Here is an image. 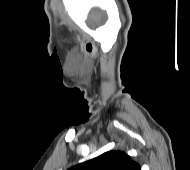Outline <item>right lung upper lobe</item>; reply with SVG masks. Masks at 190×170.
<instances>
[{
    "label": "right lung upper lobe",
    "mask_w": 190,
    "mask_h": 170,
    "mask_svg": "<svg viewBox=\"0 0 190 170\" xmlns=\"http://www.w3.org/2000/svg\"><path fill=\"white\" fill-rule=\"evenodd\" d=\"M68 170H140V167L126 153L112 150Z\"/></svg>",
    "instance_id": "right-lung-upper-lobe-1"
}]
</instances>
